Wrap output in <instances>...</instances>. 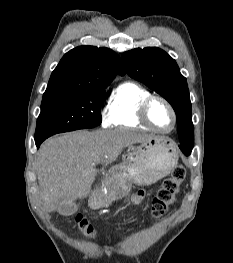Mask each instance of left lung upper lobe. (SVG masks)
<instances>
[{"instance_id": "5c2ea615", "label": "left lung upper lobe", "mask_w": 233, "mask_h": 263, "mask_svg": "<svg viewBox=\"0 0 233 263\" xmlns=\"http://www.w3.org/2000/svg\"><path fill=\"white\" fill-rule=\"evenodd\" d=\"M127 74L163 96L177 116L178 136L193 146L191 102L186 78L176 61L157 47L136 48L122 54Z\"/></svg>"}]
</instances>
